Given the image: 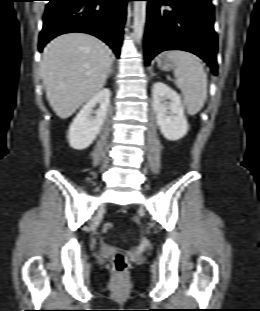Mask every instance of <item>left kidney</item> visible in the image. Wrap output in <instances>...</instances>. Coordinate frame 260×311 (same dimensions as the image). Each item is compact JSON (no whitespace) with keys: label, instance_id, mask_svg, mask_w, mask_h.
Instances as JSON below:
<instances>
[{"label":"left kidney","instance_id":"1","mask_svg":"<svg viewBox=\"0 0 260 311\" xmlns=\"http://www.w3.org/2000/svg\"><path fill=\"white\" fill-rule=\"evenodd\" d=\"M152 96V108L156 113V122L163 136L171 141L183 138L189 126L180 95L167 85L157 82L153 85ZM166 99L170 102H166Z\"/></svg>","mask_w":260,"mask_h":311}]
</instances>
